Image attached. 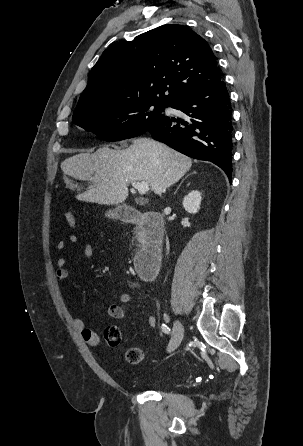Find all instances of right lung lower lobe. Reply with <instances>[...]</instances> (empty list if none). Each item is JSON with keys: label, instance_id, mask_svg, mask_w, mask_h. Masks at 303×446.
<instances>
[{"label": "right lung lower lobe", "instance_id": "obj_1", "mask_svg": "<svg viewBox=\"0 0 303 446\" xmlns=\"http://www.w3.org/2000/svg\"><path fill=\"white\" fill-rule=\"evenodd\" d=\"M170 107L182 111V119L163 116L145 133L195 159L219 166L232 174V108L225 81L193 89Z\"/></svg>", "mask_w": 303, "mask_h": 446}]
</instances>
